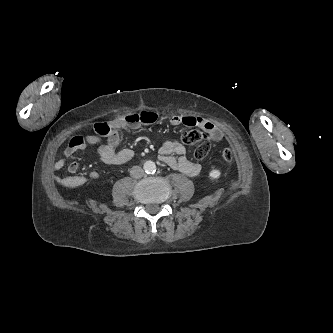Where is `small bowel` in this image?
I'll return each mask as SVG.
<instances>
[{"mask_svg": "<svg viewBox=\"0 0 333 333\" xmlns=\"http://www.w3.org/2000/svg\"><path fill=\"white\" fill-rule=\"evenodd\" d=\"M157 120V114L150 111H142L131 113L124 117L117 118L110 122L112 132L107 136L105 143H101V139L96 135H78L70 139L64 150L63 157L54 164L55 170H60L65 166V162L75 152L84 150L90 145H97V153L100 160L105 164L120 165L129 162L134 152L131 149H118L120 129H137L145 124L154 123ZM170 123L175 126L194 127L203 129L209 136L210 140L218 142L222 140L224 133L222 129L208 119L195 117L190 115H174L170 118ZM159 158L173 169L179 170L188 176H197L201 172V166L198 163L190 161L186 157V148L179 140H167L163 142L159 148ZM79 168L77 162L68 165L67 171L74 174ZM96 171L90 173L92 179L98 178ZM59 182L66 187H78L86 182L84 176L71 175Z\"/></svg>", "mask_w": 333, "mask_h": 333, "instance_id": "small-bowel-1", "label": "small bowel"}]
</instances>
